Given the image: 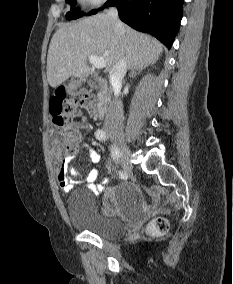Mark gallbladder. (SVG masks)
Here are the masks:
<instances>
[{
	"label": "gallbladder",
	"mask_w": 233,
	"mask_h": 284,
	"mask_svg": "<svg viewBox=\"0 0 233 284\" xmlns=\"http://www.w3.org/2000/svg\"><path fill=\"white\" fill-rule=\"evenodd\" d=\"M87 84H88V86L91 89H94V90H98L99 89V86L97 85V83H96V81L94 79H89Z\"/></svg>",
	"instance_id": "gallbladder-1"
}]
</instances>
